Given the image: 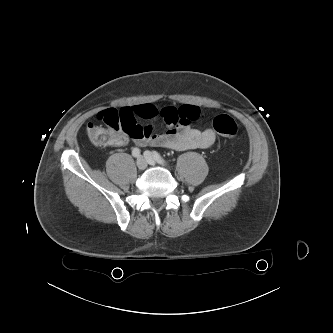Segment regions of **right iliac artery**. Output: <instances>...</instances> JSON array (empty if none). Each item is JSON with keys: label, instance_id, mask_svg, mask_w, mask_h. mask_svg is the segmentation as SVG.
<instances>
[{"label": "right iliac artery", "instance_id": "obj_1", "mask_svg": "<svg viewBox=\"0 0 333 333\" xmlns=\"http://www.w3.org/2000/svg\"><path fill=\"white\" fill-rule=\"evenodd\" d=\"M132 155H133L134 157H139V156H140V150H139L138 148H134V149L132 150Z\"/></svg>", "mask_w": 333, "mask_h": 333}]
</instances>
